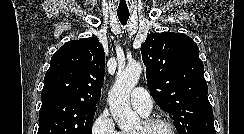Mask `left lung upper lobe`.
I'll return each mask as SVG.
<instances>
[{"instance_id":"5c2ea615","label":"left lung upper lobe","mask_w":244,"mask_h":134,"mask_svg":"<svg viewBox=\"0 0 244 134\" xmlns=\"http://www.w3.org/2000/svg\"><path fill=\"white\" fill-rule=\"evenodd\" d=\"M149 91L179 134H215L203 62L183 33H151L141 46Z\"/></svg>"}]
</instances>
